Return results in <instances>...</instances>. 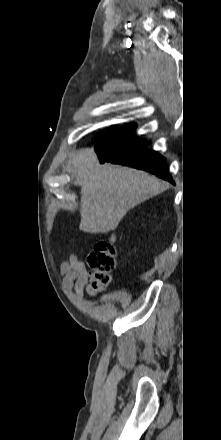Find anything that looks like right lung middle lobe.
<instances>
[{
  "label": "right lung middle lobe",
  "instance_id": "right-lung-middle-lobe-1",
  "mask_svg": "<svg viewBox=\"0 0 221 440\" xmlns=\"http://www.w3.org/2000/svg\"><path fill=\"white\" fill-rule=\"evenodd\" d=\"M113 131H115V128H114V127H113V128H110L109 130H107V131H105L104 133L100 134V135L95 139V141H99V140L105 138L106 136H108L109 134H111Z\"/></svg>",
  "mask_w": 221,
  "mask_h": 440
}]
</instances>
